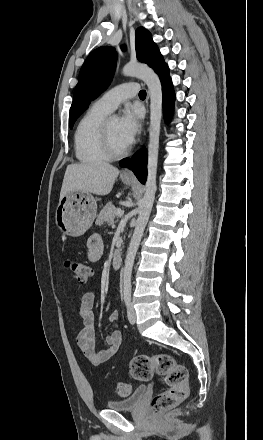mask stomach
Here are the masks:
<instances>
[{
	"instance_id": "stomach-1",
	"label": "stomach",
	"mask_w": 263,
	"mask_h": 440,
	"mask_svg": "<svg viewBox=\"0 0 263 440\" xmlns=\"http://www.w3.org/2000/svg\"><path fill=\"white\" fill-rule=\"evenodd\" d=\"M130 184V180L124 181ZM97 201L90 193L71 191L60 198L55 220L62 233L72 237L83 235L92 225Z\"/></svg>"
}]
</instances>
